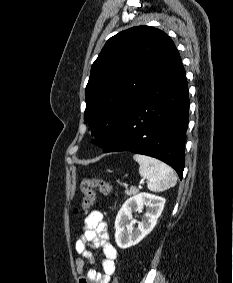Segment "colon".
Segmentation results:
<instances>
[{"label": "colon", "mask_w": 233, "mask_h": 283, "mask_svg": "<svg viewBox=\"0 0 233 283\" xmlns=\"http://www.w3.org/2000/svg\"><path fill=\"white\" fill-rule=\"evenodd\" d=\"M113 189L111 183L104 179L95 178V177H85L80 182V191H81V204L76 212H87L94 203L95 200V191H99L104 195H108ZM112 283H117L116 278L113 279Z\"/></svg>", "instance_id": "5ec220e1"}]
</instances>
